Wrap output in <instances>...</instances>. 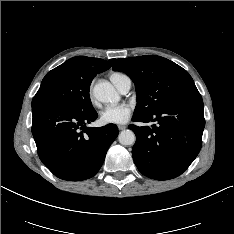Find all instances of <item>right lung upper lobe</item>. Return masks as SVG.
I'll return each mask as SVG.
<instances>
[{
  "label": "right lung upper lobe",
  "instance_id": "cb5924a9",
  "mask_svg": "<svg viewBox=\"0 0 234 234\" xmlns=\"http://www.w3.org/2000/svg\"><path fill=\"white\" fill-rule=\"evenodd\" d=\"M115 59L109 61L102 60L99 58H90L85 56H77L68 60L77 70L84 75L96 76L109 69Z\"/></svg>",
  "mask_w": 234,
  "mask_h": 234
}]
</instances>
